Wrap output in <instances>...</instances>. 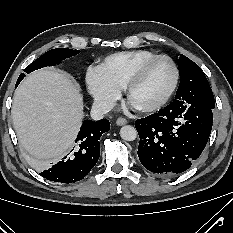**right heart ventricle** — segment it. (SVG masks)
<instances>
[{
  "label": "right heart ventricle",
  "instance_id": "right-heart-ventricle-1",
  "mask_svg": "<svg viewBox=\"0 0 233 233\" xmlns=\"http://www.w3.org/2000/svg\"><path fill=\"white\" fill-rule=\"evenodd\" d=\"M155 55L156 53L145 49L117 52L106 57L101 68L107 77L121 88L141 62Z\"/></svg>",
  "mask_w": 233,
  "mask_h": 233
}]
</instances>
